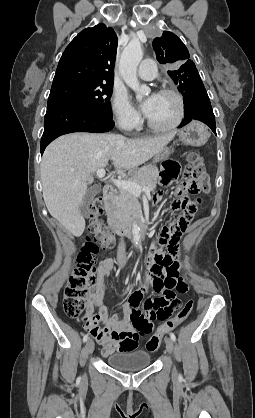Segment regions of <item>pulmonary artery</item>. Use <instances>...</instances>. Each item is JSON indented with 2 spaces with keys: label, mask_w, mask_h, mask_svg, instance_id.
<instances>
[{
  "label": "pulmonary artery",
  "mask_w": 255,
  "mask_h": 418,
  "mask_svg": "<svg viewBox=\"0 0 255 418\" xmlns=\"http://www.w3.org/2000/svg\"><path fill=\"white\" fill-rule=\"evenodd\" d=\"M137 74L140 78L144 80H152L157 75L156 64L151 59H145L139 65Z\"/></svg>",
  "instance_id": "e3ab8cb5"
}]
</instances>
